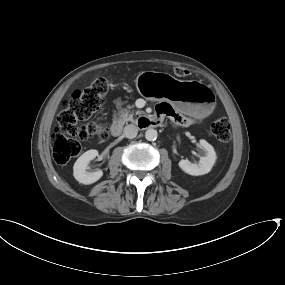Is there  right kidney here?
<instances>
[{
    "mask_svg": "<svg viewBox=\"0 0 285 285\" xmlns=\"http://www.w3.org/2000/svg\"><path fill=\"white\" fill-rule=\"evenodd\" d=\"M96 156H98V151L91 149L83 153L76 160L73 166V176L79 183L89 185L98 181L103 176V172L101 170L96 172L87 171L90 161Z\"/></svg>",
    "mask_w": 285,
    "mask_h": 285,
    "instance_id": "obj_1",
    "label": "right kidney"
}]
</instances>
